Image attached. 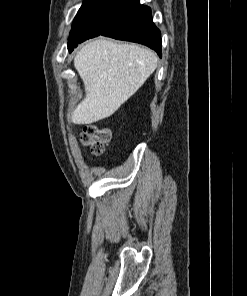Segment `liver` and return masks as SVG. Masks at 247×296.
<instances>
[{"label":"liver","instance_id":"1","mask_svg":"<svg viewBox=\"0 0 247 296\" xmlns=\"http://www.w3.org/2000/svg\"><path fill=\"white\" fill-rule=\"evenodd\" d=\"M158 58L146 48L100 38L87 43L74 58L85 98L71 121L87 125L111 116L155 71Z\"/></svg>","mask_w":247,"mask_h":296}]
</instances>
